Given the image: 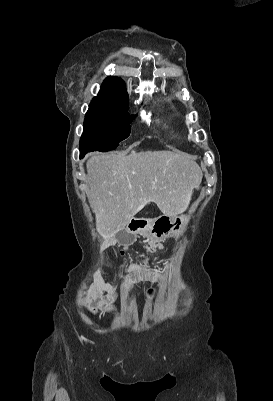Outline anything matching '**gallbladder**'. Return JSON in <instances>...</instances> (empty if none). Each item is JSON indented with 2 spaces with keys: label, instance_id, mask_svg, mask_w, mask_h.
<instances>
[{
  "label": "gallbladder",
  "instance_id": "bac80fb5",
  "mask_svg": "<svg viewBox=\"0 0 273 401\" xmlns=\"http://www.w3.org/2000/svg\"><path fill=\"white\" fill-rule=\"evenodd\" d=\"M137 233L135 231H126L125 227L119 228V233L116 235V239H118L119 243H123L124 246H135L136 240L135 237Z\"/></svg>",
  "mask_w": 273,
  "mask_h": 401
}]
</instances>
